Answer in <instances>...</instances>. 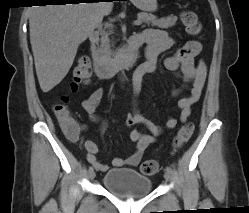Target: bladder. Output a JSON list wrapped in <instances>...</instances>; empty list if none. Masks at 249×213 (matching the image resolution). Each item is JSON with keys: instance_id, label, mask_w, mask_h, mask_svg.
Here are the masks:
<instances>
[{"instance_id": "31cf9c89", "label": "bladder", "mask_w": 249, "mask_h": 213, "mask_svg": "<svg viewBox=\"0 0 249 213\" xmlns=\"http://www.w3.org/2000/svg\"><path fill=\"white\" fill-rule=\"evenodd\" d=\"M103 187L117 197L134 199L146 196L153 188L152 180L134 169L117 168L103 177Z\"/></svg>"}]
</instances>
